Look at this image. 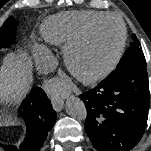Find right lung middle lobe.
Segmentation results:
<instances>
[{
	"label": "right lung middle lobe",
	"mask_w": 151,
	"mask_h": 151,
	"mask_svg": "<svg viewBox=\"0 0 151 151\" xmlns=\"http://www.w3.org/2000/svg\"><path fill=\"white\" fill-rule=\"evenodd\" d=\"M16 33V22L10 16L0 28V48L8 47L12 44Z\"/></svg>",
	"instance_id": "dd1d6c3e"
}]
</instances>
